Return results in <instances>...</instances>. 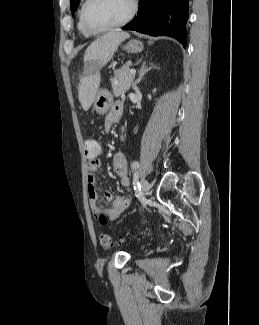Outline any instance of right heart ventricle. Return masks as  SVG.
Instances as JSON below:
<instances>
[{
    "label": "right heart ventricle",
    "instance_id": "obj_1",
    "mask_svg": "<svg viewBox=\"0 0 259 325\" xmlns=\"http://www.w3.org/2000/svg\"><path fill=\"white\" fill-rule=\"evenodd\" d=\"M85 4V0L81 3L80 7H79V11H78V23H77V27H78V30L85 36H92L94 34H91L89 33L82 25V22H81V10L83 8Z\"/></svg>",
    "mask_w": 259,
    "mask_h": 325
}]
</instances>
